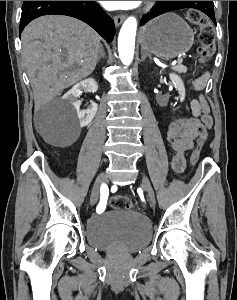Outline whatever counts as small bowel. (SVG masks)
<instances>
[{
	"mask_svg": "<svg viewBox=\"0 0 237 300\" xmlns=\"http://www.w3.org/2000/svg\"><path fill=\"white\" fill-rule=\"evenodd\" d=\"M208 78V73L197 78L192 83V89L198 91L204 88ZM191 111L193 115L191 118L174 119L167 126L166 139L175 153L172 167L176 173L185 170V152L193 149L194 140L199 138L205 141L213 124L203 97L191 102Z\"/></svg>",
	"mask_w": 237,
	"mask_h": 300,
	"instance_id": "small-bowel-1",
	"label": "small bowel"
}]
</instances>
